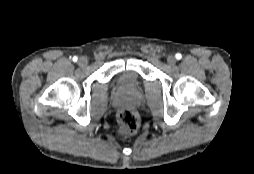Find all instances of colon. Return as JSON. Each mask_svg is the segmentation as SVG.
Returning <instances> with one entry per match:
<instances>
[{
  "label": "colon",
  "mask_w": 254,
  "mask_h": 174,
  "mask_svg": "<svg viewBox=\"0 0 254 174\" xmlns=\"http://www.w3.org/2000/svg\"><path fill=\"white\" fill-rule=\"evenodd\" d=\"M119 132L121 135L130 136L135 134L141 125L138 114L129 107L120 110L118 115Z\"/></svg>",
  "instance_id": "colon-1"
}]
</instances>
